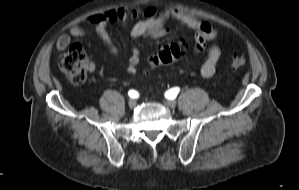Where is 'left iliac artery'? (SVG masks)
<instances>
[{
    "instance_id": "1",
    "label": "left iliac artery",
    "mask_w": 299,
    "mask_h": 190,
    "mask_svg": "<svg viewBox=\"0 0 299 190\" xmlns=\"http://www.w3.org/2000/svg\"><path fill=\"white\" fill-rule=\"evenodd\" d=\"M180 89L178 87L172 88L165 93L167 99H175Z\"/></svg>"
}]
</instances>
